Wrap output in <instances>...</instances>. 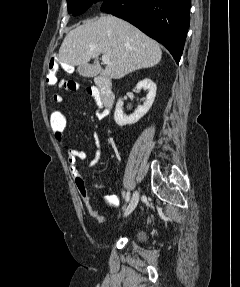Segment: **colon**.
<instances>
[{"label":"colon","instance_id":"1","mask_svg":"<svg viewBox=\"0 0 240 287\" xmlns=\"http://www.w3.org/2000/svg\"><path fill=\"white\" fill-rule=\"evenodd\" d=\"M48 73H47V83L49 85H55L58 84L60 87L75 91L79 89V84L72 80H60L57 79V72H58V61L57 58L52 57L49 60L48 63ZM49 124L51 127V130L53 131L54 135H62L65 128H66V118L64 114L57 110L53 109L50 111L49 116ZM75 183L78 188V191L80 193V196L85 204V207L89 214L95 218L98 222L102 223L104 222L105 218L102 216L95 208L93 202L91 201L85 182L80 176H76Z\"/></svg>","mask_w":240,"mask_h":287}]
</instances>
